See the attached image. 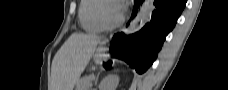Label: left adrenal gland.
<instances>
[{
	"instance_id": "a2214340",
	"label": "left adrenal gland",
	"mask_w": 228,
	"mask_h": 90,
	"mask_svg": "<svg viewBox=\"0 0 228 90\" xmlns=\"http://www.w3.org/2000/svg\"><path fill=\"white\" fill-rule=\"evenodd\" d=\"M98 77H99V74L97 75V77H96V79H95V85L97 84Z\"/></svg>"
}]
</instances>
